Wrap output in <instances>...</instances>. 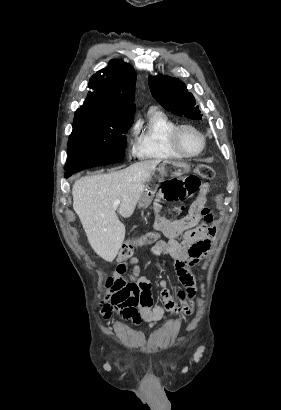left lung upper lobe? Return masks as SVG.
<instances>
[{
  "label": "left lung upper lobe",
  "instance_id": "obj_1",
  "mask_svg": "<svg viewBox=\"0 0 281 410\" xmlns=\"http://www.w3.org/2000/svg\"><path fill=\"white\" fill-rule=\"evenodd\" d=\"M153 97L168 111L178 116L201 120L202 115L195 98L184 83L176 78L158 75L148 78Z\"/></svg>",
  "mask_w": 281,
  "mask_h": 410
}]
</instances>
